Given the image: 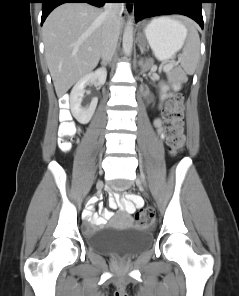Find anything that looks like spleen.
<instances>
[{
  "label": "spleen",
  "instance_id": "spleen-1",
  "mask_svg": "<svg viewBox=\"0 0 239 296\" xmlns=\"http://www.w3.org/2000/svg\"><path fill=\"white\" fill-rule=\"evenodd\" d=\"M184 28L187 35V29L185 26ZM199 49H200L199 35H198V32L192 28L189 32L188 39L183 51V57H182V67L184 71L189 75L193 74L195 71L196 64L199 58Z\"/></svg>",
  "mask_w": 239,
  "mask_h": 296
}]
</instances>
